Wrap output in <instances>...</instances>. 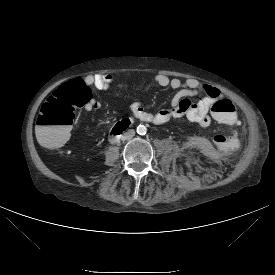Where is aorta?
<instances>
[{"label":"aorta","mask_w":275,"mask_h":275,"mask_svg":"<svg viewBox=\"0 0 275 275\" xmlns=\"http://www.w3.org/2000/svg\"><path fill=\"white\" fill-rule=\"evenodd\" d=\"M146 131H147V128L144 125H139L137 127V133L140 134V135L146 134Z\"/></svg>","instance_id":"762f6f07"}]
</instances>
